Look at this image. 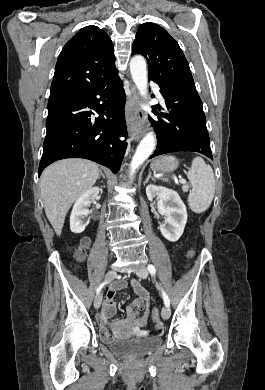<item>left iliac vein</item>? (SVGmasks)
<instances>
[{
	"label": "left iliac vein",
	"instance_id": "1",
	"mask_svg": "<svg viewBox=\"0 0 265 390\" xmlns=\"http://www.w3.org/2000/svg\"><path fill=\"white\" fill-rule=\"evenodd\" d=\"M137 276L140 278H147L148 276V270L145 267H141L136 271ZM161 316L163 319H168L170 317V308L168 306H164L162 311H161Z\"/></svg>",
	"mask_w": 265,
	"mask_h": 390
}]
</instances>
